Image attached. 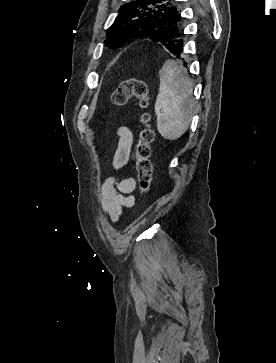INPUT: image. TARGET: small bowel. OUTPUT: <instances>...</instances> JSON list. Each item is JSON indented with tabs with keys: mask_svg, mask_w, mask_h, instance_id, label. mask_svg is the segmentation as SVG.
I'll use <instances>...</instances> for the list:
<instances>
[{
	"mask_svg": "<svg viewBox=\"0 0 276 363\" xmlns=\"http://www.w3.org/2000/svg\"><path fill=\"white\" fill-rule=\"evenodd\" d=\"M117 135L118 143L112 162L114 170H120L128 164L133 144V134L129 128L119 127ZM135 188L136 181L132 176L121 179L109 177L104 181L98 200L103 212L113 222L119 220L123 208L132 207L135 204V197L132 194Z\"/></svg>",
	"mask_w": 276,
	"mask_h": 363,
	"instance_id": "c3829d8e",
	"label": "small bowel"
}]
</instances>
